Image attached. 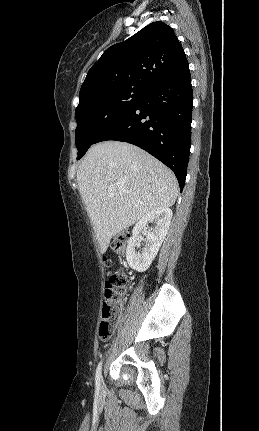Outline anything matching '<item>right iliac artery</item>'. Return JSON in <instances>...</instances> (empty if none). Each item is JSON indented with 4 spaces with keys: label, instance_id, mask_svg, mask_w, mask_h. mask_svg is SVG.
<instances>
[{
    "label": "right iliac artery",
    "instance_id": "obj_1",
    "mask_svg": "<svg viewBox=\"0 0 259 431\" xmlns=\"http://www.w3.org/2000/svg\"><path fill=\"white\" fill-rule=\"evenodd\" d=\"M101 370H102V361L98 364V367L96 369V374H95V385L98 391L100 389Z\"/></svg>",
    "mask_w": 259,
    "mask_h": 431
}]
</instances>
